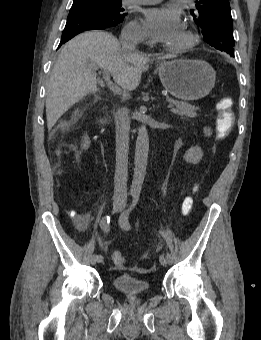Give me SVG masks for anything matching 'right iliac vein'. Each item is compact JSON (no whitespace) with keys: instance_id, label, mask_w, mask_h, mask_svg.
Wrapping results in <instances>:
<instances>
[{"instance_id":"63e3f726","label":"right iliac vein","mask_w":261,"mask_h":340,"mask_svg":"<svg viewBox=\"0 0 261 340\" xmlns=\"http://www.w3.org/2000/svg\"><path fill=\"white\" fill-rule=\"evenodd\" d=\"M122 206H123L122 200L117 199V200H115V201L113 202V209H114L115 212L120 211V210L122 209ZM89 263H90L91 265H95V264L97 263L96 254H92V255L89 257Z\"/></svg>"}]
</instances>
